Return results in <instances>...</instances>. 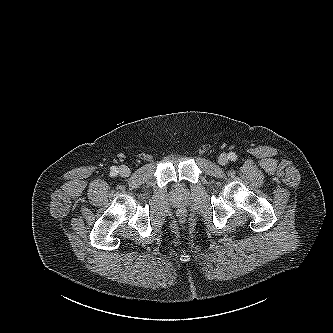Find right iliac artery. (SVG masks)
Instances as JSON below:
<instances>
[{
    "label": "right iliac artery",
    "mask_w": 333,
    "mask_h": 333,
    "mask_svg": "<svg viewBox=\"0 0 333 333\" xmlns=\"http://www.w3.org/2000/svg\"><path fill=\"white\" fill-rule=\"evenodd\" d=\"M111 171H112V175H117V173H118V168L113 167Z\"/></svg>",
    "instance_id": "82829eb1"
}]
</instances>
